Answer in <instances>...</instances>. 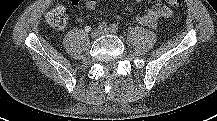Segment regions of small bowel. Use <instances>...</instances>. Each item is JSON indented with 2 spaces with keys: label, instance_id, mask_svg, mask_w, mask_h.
Returning <instances> with one entry per match:
<instances>
[{
  "label": "small bowel",
  "instance_id": "c3829d8e",
  "mask_svg": "<svg viewBox=\"0 0 217 121\" xmlns=\"http://www.w3.org/2000/svg\"><path fill=\"white\" fill-rule=\"evenodd\" d=\"M137 2H142L144 0H135ZM73 4H77L79 0H72ZM97 0H87L86 7L88 10L93 11L96 8ZM172 16V10L167 7L163 0H156L155 6L148 10L146 13L142 15H138L136 20L145 26L148 27H156L157 22L161 18H169Z\"/></svg>",
  "mask_w": 217,
  "mask_h": 121
}]
</instances>
